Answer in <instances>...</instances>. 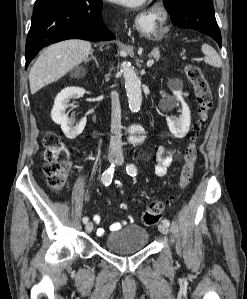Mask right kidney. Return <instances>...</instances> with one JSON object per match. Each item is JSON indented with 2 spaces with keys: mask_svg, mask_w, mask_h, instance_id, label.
Listing matches in <instances>:
<instances>
[{
  "mask_svg": "<svg viewBox=\"0 0 247 299\" xmlns=\"http://www.w3.org/2000/svg\"><path fill=\"white\" fill-rule=\"evenodd\" d=\"M84 93L85 90L83 88L67 87L55 98L53 109L51 111V118L56 124L61 126L64 135L68 139H75L83 132L86 126V117H83L76 122L74 118L69 119L66 114L70 99L80 98Z\"/></svg>",
  "mask_w": 247,
  "mask_h": 299,
  "instance_id": "obj_1",
  "label": "right kidney"
}]
</instances>
